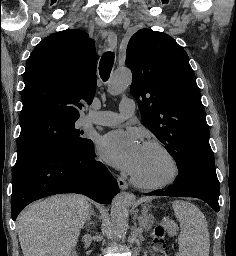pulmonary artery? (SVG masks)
I'll return each instance as SVG.
<instances>
[{"mask_svg": "<svg viewBox=\"0 0 236 256\" xmlns=\"http://www.w3.org/2000/svg\"><path fill=\"white\" fill-rule=\"evenodd\" d=\"M134 104L132 101H121L119 112H104L102 117H91L89 122L102 126H114L121 123L125 118L134 114Z\"/></svg>", "mask_w": 236, "mask_h": 256, "instance_id": "obj_1", "label": "pulmonary artery"}]
</instances>
